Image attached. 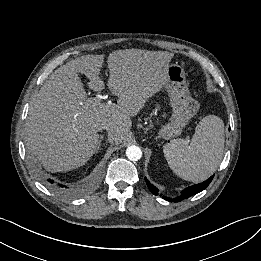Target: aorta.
I'll use <instances>...</instances> for the list:
<instances>
[{
  "label": "aorta",
  "mask_w": 261,
  "mask_h": 261,
  "mask_svg": "<svg viewBox=\"0 0 261 261\" xmlns=\"http://www.w3.org/2000/svg\"><path fill=\"white\" fill-rule=\"evenodd\" d=\"M126 156L131 161H138L142 157V151L138 146L131 145L126 149Z\"/></svg>",
  "instance_id": "1"
}]
</instances>
